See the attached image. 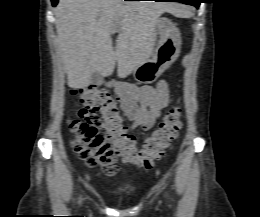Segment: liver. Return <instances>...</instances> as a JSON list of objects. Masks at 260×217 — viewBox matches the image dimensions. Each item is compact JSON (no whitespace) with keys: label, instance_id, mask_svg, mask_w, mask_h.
I'll list each match as a JSON object with an SVG mask.
<instances>
[{"label":"liver","instance_id":"1","mask_svg":"<svg viewBox=\"0 0 260 217\" xmlns=\"http://www.w3.org/2000/svg\"><path fill=\"white\" fill-rule=\"evenodd\" d=\"M164 12L187 16L181 6L168 2L60 0L55 25L68 86L87 87L94 71L109 76L116 62L120 77L131 74L153 55L156 25Z\"/></svg>","mask_w":260,"mask_h":217}]
</instances>
